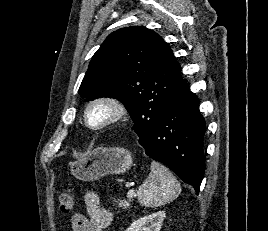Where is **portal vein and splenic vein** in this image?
Wrapping results in <instances>:
<instances>
[{
	"label": "portal vein and splenic vein",
	"instance_id": "obj_1",
	"mask_svg": "<svg viewBox=\"0 0 268 231\" xmlns=\"http://www.w3.org/2000/svg\"><path fill=\"white\" fill-rule=\"evenodd\" d=\"M128 186V185H127ZM129 194H133L132 190L129 191Z\"/></svg>",
	"mask_w": 268,
	"mask_h": 231
}]
</instances>
